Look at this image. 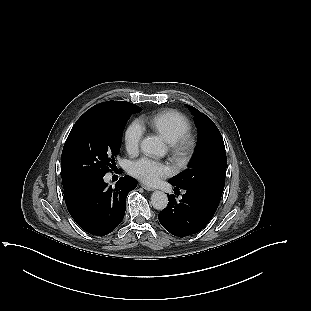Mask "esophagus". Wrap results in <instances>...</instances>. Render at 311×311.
<instances>
[{"instance_id":"esophagus-1","label":"esophagus","mask_w":311,"mask_h":311,"mask_svg":"<svg viewBox=\"0 0 311 311\" xmlns=\"http://www.w3.org/2000/svg\"><path fill=\"white\" fill-rule=\"evenodd\" d=\"M141 187H142L143 189L147 190V191H153V190H154L153 187L147 186V185H145V184H141Z\"/></svg>"}]
</instances>
